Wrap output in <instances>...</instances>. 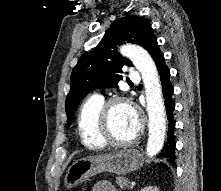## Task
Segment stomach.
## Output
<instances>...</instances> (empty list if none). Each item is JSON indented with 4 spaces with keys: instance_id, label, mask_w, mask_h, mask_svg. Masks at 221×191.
I'll list each match as a JSON object with an SVG mask.
<instances>
[{
    "instance_id": "1",
    "label": "stomach",
    "mask_w": 221,
    "mask_h": 191,
    "mask_svg": "<svg viewBox=\"0 0 221 191\" xmlns=\"http://www.w3.org/2000/svg\"><path fill=\"white\" fill-rule=\"evenodd\" d=\"M142 163L141 155L135 149H123L105 155L82 158L69 167L64 185L68 189L75 187L102 172L124 175L137 170Z\"/></svg>"
}]
</instances>
